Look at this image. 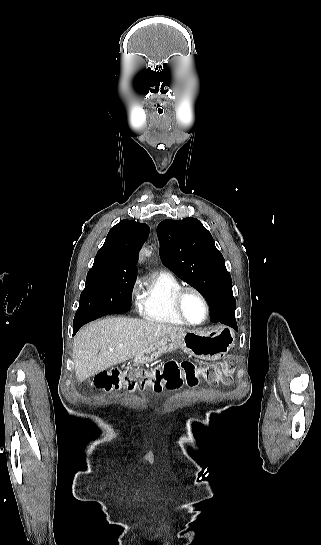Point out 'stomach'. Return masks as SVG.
Wrapping results in <instances>:
<instances>
[{
	"label": "stomach",
	"mask_w": 321,
	"mask_h": 545,
	"mask_svg": "<svg viewBox=\"0 0 321 545\" xmlns=\"http://www.w3.org/2000/svg\"><path fill=\"white\" fill-rule=\"evenodd\" d=\"M235 333L230 327L220 325L214 331H184L161 337L159 341L140 351L134 359V365H146L157 361L163 353L182 349L187 355L204 361H218L234 347Z\"/></svg>",
	"instance_id": "obj_1"
}]
</instances>
